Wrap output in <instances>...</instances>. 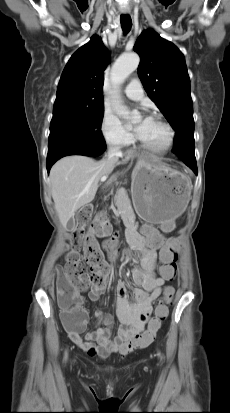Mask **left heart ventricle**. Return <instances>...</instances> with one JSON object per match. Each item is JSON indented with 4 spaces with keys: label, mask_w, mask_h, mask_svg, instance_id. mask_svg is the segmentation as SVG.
Listing matches in <instances>:
<instances>
[{
    "label": "left heart ventricle",
    "mask_w": 230,
    "mask_h": 413,
    "mask_svg": "<svg viewBox=\"0 0 230 413\" xmlns=\"http://www.w3.org/2000/svg\"><path fill=\"white\" fill-rule=\"evenodd\" d=\"M167 137L165 128L156 120H151L145 131L139 137L144 142L152 145L162 144Z\"/></svg>",
    "instance_id": "obj_1"
}]
</instances>
